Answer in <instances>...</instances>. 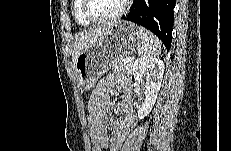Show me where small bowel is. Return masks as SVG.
<instances>
[{
    "label": "small bowel",
    "mask_w": 231,
    "mask_h": 151,
    "mask_svg": "<svg viewBox=\"0 0 231 151\" xmlns=\"http://www.w3.org/2000/svg\"><path fill=\"white\" fill-rule=\"evenodd\" d=\"M120 91L124 97L116 104L118 112L123 113V117L113 122L114 135L107 133V124L110 121V98L109 94ZM130 89L128 84L122 80L114 78L103 79L89 100V125L93 151H119L124 143L130 129L135 122V112L129 97Z\"/></svg>",
    "instance_id": "c3829d8e"
}]
</instances>
